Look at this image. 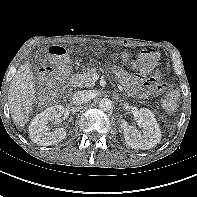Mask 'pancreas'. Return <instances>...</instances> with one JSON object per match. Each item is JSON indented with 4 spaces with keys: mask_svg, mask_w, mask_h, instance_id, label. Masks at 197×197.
<instances>
[{
    "mask_svg": "<svg viewBox=\"0 0 197 197\" xmlns=\"http://www.w3.org/2000/svg\"><path fill=\"white\" fill-rule=\"evenodd\" d=\"M96 72L95 69L88 70L81 74H76L72 76L70 83L73 87H93L95 86V81L92 79V74Z\"/></svg>",
    "mask_w": 197,
    "mask_h": 197,
    "instance_id": "cf45deb5",
    "label": "pancreas"
}]
</instances>
